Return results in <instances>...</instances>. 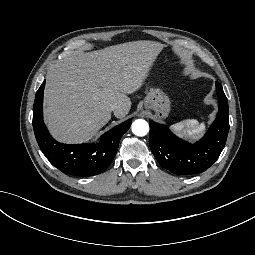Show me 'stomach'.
Returning a JSON list of instances; mask_svg holds the SVG:
<instances>
[{
	"label": "stomach",
	"mask_w": 255,
	"mask_h": 255,
	"mask_svg": "<svg viewBox=\"0 0 255 255\" xmlns=\"http://www.w3.org/2000/svg\"><path fill=\"white\" fill-rule=\"evenodd\" d=\"M170 105L171 102L168 95L159 88H150L144 98V107L153 110L159 119L168 116Z\"/></svg>",
	"instance_id": "0dacf381"
}]
</instances>
